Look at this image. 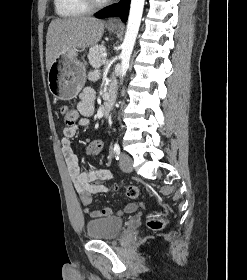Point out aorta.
I'll return each instance as SVG.
<instances>
[{
  "instance_id": "obj_1",
  "label": "aorta",
  "mask_w": 247,
  "mask_h": 280,
  "mask_svg": "<svg viewBox=\"0 0 247 280\" xmlns=\"http://www.w3.org/2000/svg\"><path fill=\"white\" fill-rule=\"evenodd\" d=\"M145 0H131L127 29L121 52V78L129 67L130 57L139 31Z\"/></svg>"
}]
</instances>
